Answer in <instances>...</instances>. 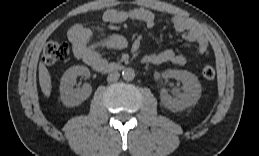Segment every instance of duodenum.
Listing matches in <instances>:
<instances>
[{
  "label": "duodenum",
  "instance_id": "1",
  "mask_svg": "<svg viewBox=\"0 0 259 156\" xmlns=\"http://www.w3.org/2000/svg\"><path fill=\"white\" fill-rule=\"evenodd\" d=\"M122 68L123 66L117 63H105L99 64L95 69L99 72H115L121 70Z\"/></svg>",
  "mask_w": 259,
  "mask_h": 156
}]
</instances>
